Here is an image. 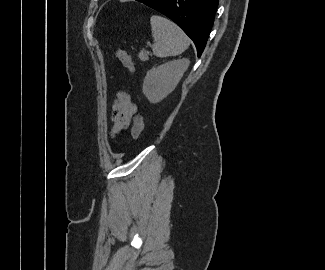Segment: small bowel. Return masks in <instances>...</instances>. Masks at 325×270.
<instances>
[{
  "label": "small bowel",
  "instance_id": "1",
  "mask_svg": "<svg viewBox=\"0 0 325 270\" xmlns=\"http://www.w3.org/2000/svg\"><path fill=\"white\" fill-rule=\"evenodd\" d=\"M137 112V106L126 92H119L112 106V133L116 134L129 126L133 116Z\"/></svg>",
  "mask_w": 325,
  "mask_h": 270
}]
</instances>
